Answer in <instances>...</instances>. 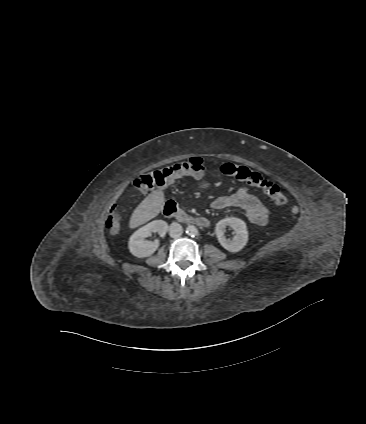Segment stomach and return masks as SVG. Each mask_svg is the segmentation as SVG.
<instances>
[{"label": "stomach", "mask_w": 366, "mask_h": 424, "mask_svg": "<svg viewBox=\"0 0 366 424\" xmlns=\"http://www.w3.org/2000/svg\"><path fill=\"white\" fill-rule=\"evenodd\" d=\"M210 186V183L208 182V181H203L201 184H200V188H202V189H206V188H208Z\"/></svg>", "instance_id": "stomach-1"}]
</instances>
